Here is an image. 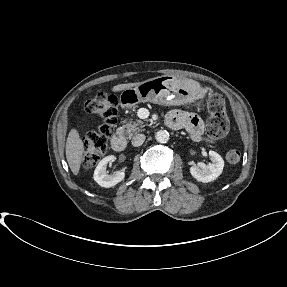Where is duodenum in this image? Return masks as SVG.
Segmentation results:
<instances>
[{"instance_id": "410a0bca", "label": "duodenum", "mask_w": 287, "mask_h": 287, "mask_svg": "<svg viewBox=\"0 0 287 287\" xmlns=\"http://www.w3.org/2000/svg\"><path fill=\"white\" fill-rule=\"evenodd\" d=\"M111 146L116 152H123L127 148V141L121 133H116L111 138Z\"/></svg>"}]
</instances>
